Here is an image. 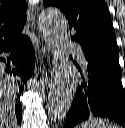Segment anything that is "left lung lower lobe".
<instances>
[{
  "label": "left lung lower lobe",
  "mask_w": 125,
  "mask_h": 128,
  "mask_svg": "<svg viewBox=\"0 0 125 128\" xmlns=\"http://www.w3.org/2000/svg\"><path fill=\"white\" fill-rule=\"evenodd\" d=\"M77 65V64H76ZM75 87V98L63 128L92 116L111 119L125 128V93L119 60L85 61Z\"/></svg>",
  "instance_id": "0a47b994"
}]
</instances>
